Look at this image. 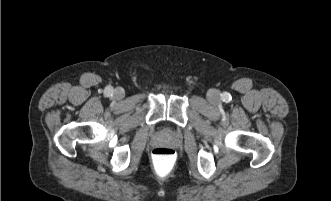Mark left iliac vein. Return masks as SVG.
Masks as SVG:
<instances>
[{"label":"left iliac vein","instance_id":"left-iliac-vein-1","mask_svg":"<svg viewBox=\"0 0 331 201\" xmlns=\"http://www.w3.org/2000/svg\"><path fill=\"white\" fill-rule=\"evenodd\" d=\"M208 100L213 104L217 103V101H218V92L216 90H210L208 92Z\"/></svg>","mask_w":331,"mask_h":201}]
</instances>
